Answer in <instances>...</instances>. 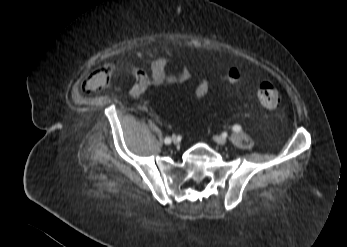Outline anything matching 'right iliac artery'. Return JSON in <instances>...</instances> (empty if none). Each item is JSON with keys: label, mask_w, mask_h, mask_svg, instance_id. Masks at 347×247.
<instances>
[{"label": "right iliac artery", "mask_w": 347, "mask_h": 247, "mask_svg": "<svg viewBox=\"0 0 347 247\" xmlns=\"http://www.w3.org/2000/svg\"><path fill=\"white\" fill-rule=\"evenodd\" d=\"M164 142H165V144H170L171 143V138L170 137H166Z\"/></svg>", "instance_id": "1"}]
</instances>
